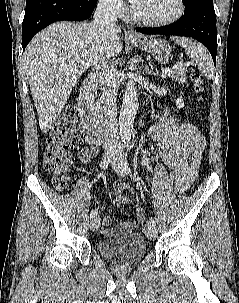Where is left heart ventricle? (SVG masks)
Instances as JSON below:
<instances>
[{"label": "left heart ventricle", "instance_id": "obj_1", "mask_svg": "<svg viewBox=\"0 0 239 303\" xmlns=\"http://www.w3.org/2000/svg\"><path fill=\"white\" fill-rule=\"evenodd\" d=\"M176 0H141L135 6L137 13L148 19H164L177 11Z\"/></svg>", "mask_w": 239, "mask_h": 303}]
</instances>
